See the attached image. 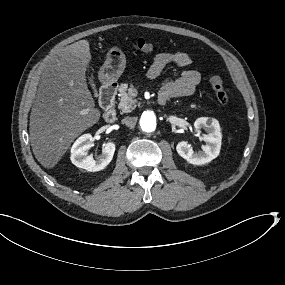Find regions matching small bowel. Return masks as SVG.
Wrapping results in <instances>:
<instances>
[{
	"label": "small bowel",
	"mask_w": 285,
	"mask_h": 285,
	"mask_svg": "<svg viewBox=\"0 0 285 285\" xmlns=\"http://www.w3.org/2000/svg\"><path fill=\"white\" fill-rule=\"evenodd\" d=\"M193 63L192 58L185 52H161L158 53L148 70V77L158 78L163 70L169 65L180 67L190 66ZM201 81L199 72L188 69L175 79L167 80L160 88L159 99L166 101L170 98L189 96L194 93Z\"/></svg>",
	"instance_id": "obj_1"
}]
</instances>
